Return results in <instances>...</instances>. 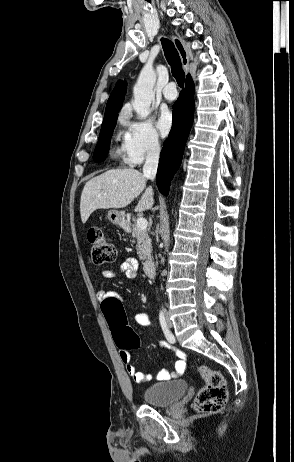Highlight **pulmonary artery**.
Segmentation results:
<instances>
[{
	"label": "pulmonary artery",
	"mask_w": 294,
	"mask_h": 462,
	"mask_svg": "<svg viewBox=\"0 0 294 462\" xmlns=\"http://www.w3.org/2000/svg\"><path fill=\"white\" fill-rule=\"evenodd\" d=\"M163 97L168 101H173L177 98L175 83L171 82L164 87Z\"/></svg>",
	"instance_id": "e3ab8cb5"
}]
</instances>
